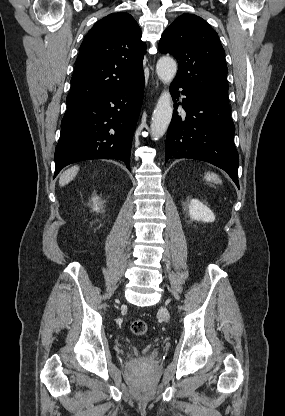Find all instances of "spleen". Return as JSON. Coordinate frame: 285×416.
Listing matches in <instances>:
<instances>
[{
    "label": "spleen",
    "instance_id": "spleen-1",
    "mask_svg": "<svg viewBox=\"0 0 285 416\" xmlns=\"http://www.w3.org/2000/svg\"><path fill=\"white\" fill-rule=\"evenodd\" d=\"M206 182H213V184H222V180H220L217 174H213V172H207L204 176Z\"/></svg>",
    "mask_w": 285,
    "mask_h": 416
}]
</instances>
